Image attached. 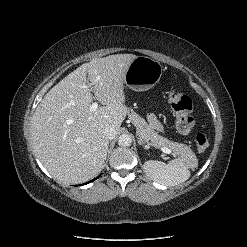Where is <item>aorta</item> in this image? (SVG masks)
Listing matches in <instances>:
<instances>
[{"label":"aorta","mask_w":247,"mask_h":247,"mask_svg":"<svg viewBox=\"0 0 247 247\" xmlns=\"http://www.w3.org/2000/svg\"><path fill=\"white\" fill-rule=\"evenodd\" d=\"M118 144L121 147H129L132 144V138L128 134H122L118 138Z\"/></svg>","instance_id":"obj_1"}]
</instances>
